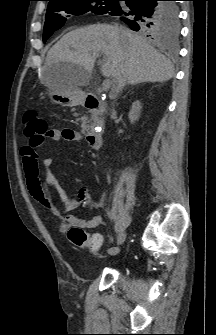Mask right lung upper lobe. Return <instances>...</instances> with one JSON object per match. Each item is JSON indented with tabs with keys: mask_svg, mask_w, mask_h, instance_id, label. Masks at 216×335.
Returning <instances> with one entry per match:
<instances>
[{
	"mask_svg": "<svg viewBox=\"0 0 216 335\" xmlns=\"http://www.w3.org/2000/svg\"><path fill=\"white\" fill-rule=\"evenodd\" d=\"M47 1H49V4H50L53 1H60V0H47Z\"/></svg>",
	"mask_w": 216,
	"mask_h": 335,
	"instance_id": "right-lung-upper-lobe-1",
	"label": "right lung upper lobe"
}]
</instances>
